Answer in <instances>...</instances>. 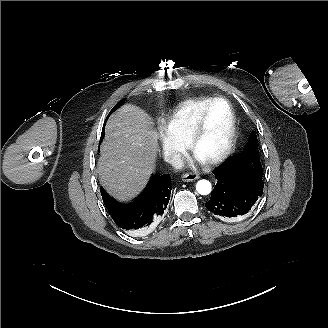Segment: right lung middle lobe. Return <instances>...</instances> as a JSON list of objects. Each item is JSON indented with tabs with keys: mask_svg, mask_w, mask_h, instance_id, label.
Returning <instances> with one entry per match:
<instances>
[{
	"mask_svg": "<svg viewBox=\"0 0 328 328\" xmlns=\"http://www.w3.org/2000/svg\"><path fill=\"white\" fill-rule=\"evenodd\" d=\"M123 102H124V99L123 100H121L112 110H111V112L109 113V115L112 113V112H114L119 106H121L122 104H123ZM108 115V116H109ZM108 118V117H107ZM104 138V128H103V130H102V134H101V139H100V142L102 141V139Z\"/></svg>",
	"mask_w": 328,
	"mask_h": 328,
	"instance_id": "obj_1",
	"label": "right lung middle lobe"
}]
</instances>
